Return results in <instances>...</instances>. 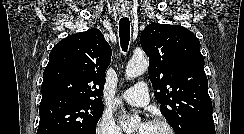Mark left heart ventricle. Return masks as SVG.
Segmentation results:
<instances>
[{
    "mask_svg": "<svg viewBox=\"0 0 244 134\" xmlns=\"http://www.w3.org/2000/svg\"><path fill=\"white\" fill-rule=\"evenodd\" d=\"M133 134H169L167 130L158 125L147 124L146 126L138 125Z\"/></svg>",
    "mask_w": 244,
    "mask_h": 134,
    "instance_id": "1",
    "label": "left heart ventricle"
}]
</instances>
